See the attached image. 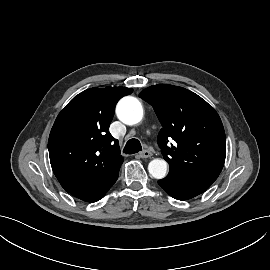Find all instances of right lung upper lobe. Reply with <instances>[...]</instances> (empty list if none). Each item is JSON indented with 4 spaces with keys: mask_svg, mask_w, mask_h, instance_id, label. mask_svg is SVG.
I'll list each match as a JSON object with an SVG mask.
<instances>
[{
    "mask_svg": "<svg viewBox=\"0 0 270 270\" xmlns=\"http://www.w3.org/2000/svg\"><path fill=\"white\" fill-rule=\"evenodd\" d=\"M126 87L91 88L75 96L51 129L48 150L52 170L70 193L105 181L120 169L118 140L109 133L118 100Z\"/></svg>",
    "mask_w": 270,
    "mask_h": 270,
    "instance_id": "1",
    "label": "right lung upper lobe"
}]
</instances>
